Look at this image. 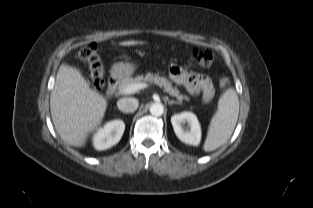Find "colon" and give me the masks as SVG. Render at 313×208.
I'll return each instance as SVG.
<instances>
[{"label":"colon","instance_id":"1","mask_svg":"<svg viewBox=\"0 0 313 208\" xmlns=\"http://www.w3.org/2000/svg\"><path fill=\"white\" fill-rule=\"evenodd\" d=\"M79 57L86 61L89 66V76L91 83L96 89H101L104 85V70L101 62L98 48L95 43H90L84 46L79 51ZM194 61L203 68H208L212 64V54L208 51L194 50L192 52ZM229 84V78L223 75L219 78L220 87H225Z\"/></svg>","mask_w":313,"mask_h":208}]
</instances>
